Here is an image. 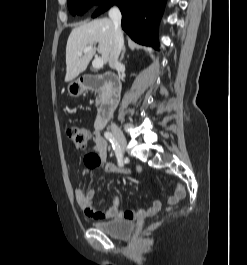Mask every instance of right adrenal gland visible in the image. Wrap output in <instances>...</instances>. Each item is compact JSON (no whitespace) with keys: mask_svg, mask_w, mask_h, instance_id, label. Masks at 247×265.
I'll use <instances>...</instances> for the list:
<instances>
[{"mask_svg":"<svg viewBox=\"0 0 247 265\" xmlns=\"http://www.w3.org/2000/svg\"><path fill=\"white\" fill-rule=\"evenodd\" d=\"M125 51H126V48H125V46H124V47H123L122 54H121V57H120V62L124 59Z\"/></svg>","mask_w":247,"mask_h":265,"instance_id":"1","label":"right adrenal gland"}]
</instances>
